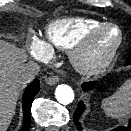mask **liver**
I'll return each mask as SVG.
<instances>
[{"label": "liver", "mask_w": 131, "mask_h": 131, "mask_svg": "<svg viewBox=\"0 0 131 131\" xmlns=\"http://www.w3.org/2000/svg\"><path fill=\"white\" fill-rule=\"evenodd\" d=\"M27 56L9 43L0 40V131H6L14 115L21 91L18 71Z\"/></svg>", "instance_id": "1"}]
</instances>
